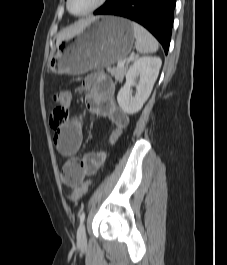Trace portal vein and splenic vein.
Instances as JSON below:
<instances>
[{"instance_id":"portal-vein-and-splenic-vein-1","label":"portal vein and splenic vein","mask_w":227,"mask_h":265,"mask_svg":"<svg viewBox=\"0 0 227 265\" xmlns=\"http://www.w3.org/2000/svg\"><path fill=\"white\" fill-rule=\"evenodd\" d=\"M134 58L133 57H129L128 58V62L132 61ZM125 65L124 61H118L117 63V67H123Z\"/></svg>"}]
</instances>
